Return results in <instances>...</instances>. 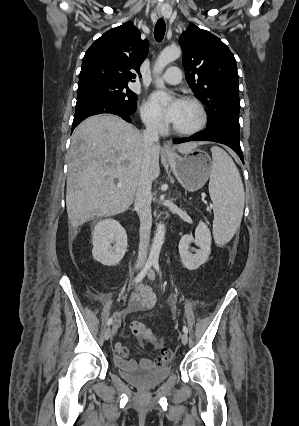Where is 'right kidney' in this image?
<instances>
[{"mask_svg": "<svg viewBox=\"0 0 299 426\" xmlns=\"http://www.w3.org/2000/svg\"><path fill=\"white\" fill-rule=\"evenodd\" d=\"M93 258L105 266H114L126 253L127 234L114 219L100 220L92 232Z\"/></svg>", "mask_w": 299, "mask_h": 426, "instance_id": "1", "label": "right kidney"}]
</instances>
